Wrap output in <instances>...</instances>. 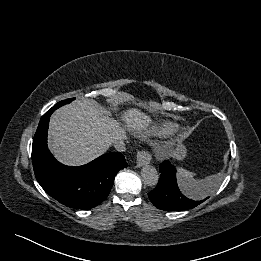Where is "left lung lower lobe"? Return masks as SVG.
Returning a JSON list of instances; mask_svg holds the SVG:
<instances>
[{"label":"left lung lower lobe","instance_id":"left-lung-lower-lobe-1","mask_svg":"<svg viewBox=\"0 0 261 261\" xmlns=\"http://www.w3.org/2000/svg\"><path fill=\"white\" fill-rule=\"evenodd\" d=\"M159 172L161 175L158 185L148 194L155 207L166 211L187 210L207 199L198 201L191 196L203 195L209 189L202 188L195 192L193 189L181 188L177 184L176 169L168 160L160 164Z\"/></svg>","mask_w":261,"mask_h":261}]
</instances>
